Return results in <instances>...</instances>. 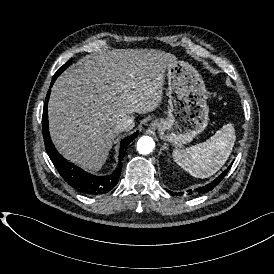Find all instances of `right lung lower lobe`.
<instances>
[{
	"mask_svg": "<svg viewBox=\"0 0 274 274\" xmlns=\"http://www.w3.org/2000/svg\"><path fill=\"white\" fill-rule=\"evenodd\" d=\"M58 76L54 75L52 78V82L48 90L45 103H44V108H43L42 129H43L45 148L48 153V156L50 157L51 161L53 162L54 166L56 167L57 171L62 176V178L77 191L87 195H100V194L107 193L119 181V177L122 169L121 162H119L118 168L111 175L103 176V177L94 176L83 171L76 165L64 159L57 152V150L55 149L51 141V138L49 135V129H48L47 104H48V100L51 92V87ZM137 136H138V131L132 134L131 136L125 138L122 141L120 154H119L120 160L123 158L124 151L126 150L128 144H130V142H132V140H134Z\"/></svg>",
	"mask_w": 274,
	"mask_h": 274,
	"instance_id": "98d812e1",
	"label": "right lung lower lobe"
}]
</instances>
